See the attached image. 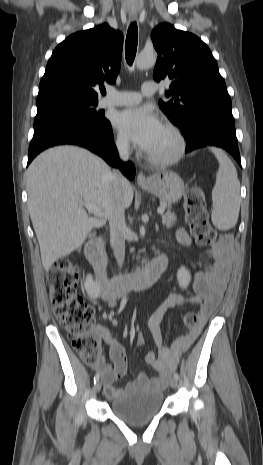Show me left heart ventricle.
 Instances as JSON below:
<instances>
[{
	"label": "left heart ventricle",
	"mask_w": 263,
	"mask_h": 465,
	"mask_svg": "<svg viewBox=\"0 0 263 465\" xmlns=\"http://www.w3.org/2000/svg\"><path fill=\"white\" fill-rule=\"evenodd\" d=\"M175 148V138L168 130L163 128L158 139L148 153L155 157H166L171 155Z\"/></svg>",
	"instance_id": "left-heart-ventricle-1"
}]
</instances>
